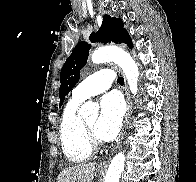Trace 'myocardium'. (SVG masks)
<instances>
[{
  "instance_id": "obj_1",
  "label": "myocardium",
  "mask_w": 196,
  "mask_h": 182,
  "mask_svg": "<svg viewBox=\"0 0 196 182\" xmlns=\"http://www.w3.org/2000/svg\"><path fill=\"white\" fill-rule=\"evenodd\" d=\"M83 124V130H84V135L86 138V141L88 142L89 146L91 148H96L100 145L99 139L96 137L93 131H91L88 126L86 125L85 122L82 121Z\"/></svg>"
}]
</instances>
